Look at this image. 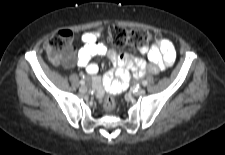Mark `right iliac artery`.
<instances>
[{
  "instance_id": "82829eb1",
  "label": "right iliac artery",
  "mask_w": 225,
  "mask_h": 155,
  "mask_svg": "<svg viewBox=\"0 0 225 155\" xmlns=\"http://www.w3.org/2000/svg\"><path fill=\"white\" fill-rule=\"evenodd\" d=\"M80 84H81V85H84V84H85V81H84V80H81V81H80Z\"/></svg>"
}]
</instances>
